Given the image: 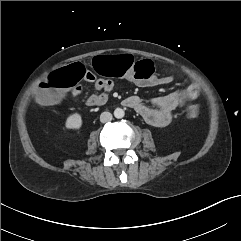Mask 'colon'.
<instances>
[{
    "mask_svg": "<svg viewBox=\"0 0 241 241\" xmlns=\"http://www.w3.org/2000/svg\"><path fill=\"white\" fill-rule=\"evenodd\" d=\"M89 66L91 71L98 75L106 74L115 78L127 76L138 80L150 78L155 70L151 60L135 61L129 55L98 54L91 58ZM85 74L86 67L77 61H69L65 66L55 70L53 74L45 73L40 78L41 89L37 93V101L42 105L55 103ZM186 114L190 118H196L200 114V109L197 105H191L187 108Z\"/></svg>",
    "mask_w": 241,
    "mask_h": 241,
    "instance_id": "obj_1",
    "label": "colon"
}]
</instances>
